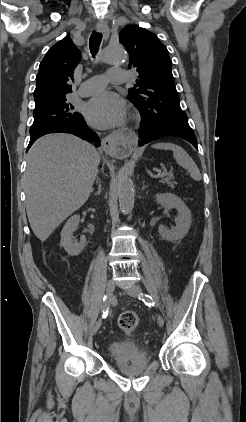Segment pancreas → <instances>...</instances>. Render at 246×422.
I'll list each match as a JSON object with an SVG mask.
<instances>
[{
  "label": "pancreas",
  "mask_w": 246,
  "mask_h": 422,
  "mask_svg": "<svg viewBox=\"0 0 246 422\" xmlns=\"http://www.w3.org/2000/svg\"><path fill=\"white\" fill-rule=\"evenodd\" d=\"M173 177H172V175H169V176H167L166 178H164V179H162L161 180V182H163V183H167V184H169V185H173V183L171 182V179H172Z\"/></svg>",
  "instance_id": "pancreas-1"
}]
</instances>
